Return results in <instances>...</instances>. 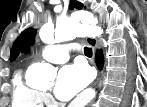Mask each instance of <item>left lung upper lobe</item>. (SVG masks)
<instances>
[{
    "mask_svg": "<svg viewBox=\"0 0 147 107\" xmlns=\"http://www.w3.org/2000/svg\"><path fill=\"white\" fill-rule=\"evenodd\" d=\"M70 7L82 9L83 4L76 0H71ZM36 32V29L30 27L20 34L12 46L10 61H14L20 52L29 51L30 46L34 44Z\"/></svg>",
    "mask_w": 147,
    "mask_h": 107,
    "instance_id": "obj_1",
    "label": "left lung upper lobe"
}]
</instances>
